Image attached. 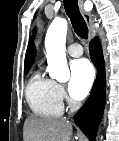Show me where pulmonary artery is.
<instances>
[{"mask_svg": "<svg viewBox=\"0 0 119 141\" xmlns=\"http://www.w3.org/2000/svg\"><path fill=\"white\" fill-rule=\"evenodd\" d=\"M67 52L72 57H80L83 54V49L80 44L74 43L68 46Z\"/></svg>", "mask_w": 119, "mask_h": 141, "instance_id": "pulmonary-artery-1", "label": "pulmonary artery"}]
</instances>
